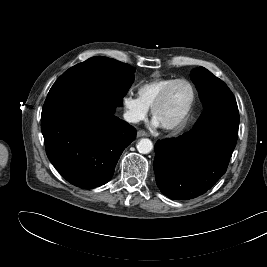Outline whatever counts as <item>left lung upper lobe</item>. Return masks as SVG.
Segmentation results:
<instances>
[{
	"label": "left lung upper lobe",
	"mask_w": 267,
	"mask_h": 267,
	"mask_svg": "<svg viewBox=\"0 0 267 267\" xmlns=\"http://www.w3.org/2000/svg\"><path fill=\"white\" fill-rule=\"evenodd\" d=\"M191 76L204 106V111L196 124H200L207 118L220 114L232 113L233 116L239 119L234 95L222 80L204 67L193 69Z\"/></svg>",
	"instance_id": "obj_1"
}]
</instances>
